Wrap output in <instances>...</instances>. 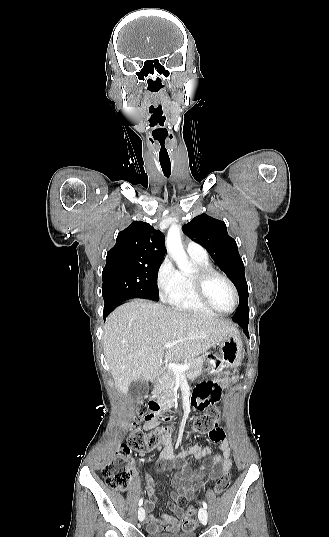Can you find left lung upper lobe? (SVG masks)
Listing matches in <instances>:
<instances>
[{
    "label": "left lung upper lobe",
    "instance_id": "1",
    "mask_svg": "<svg viewBox=\"0 0 329 537\" xmlns=\"http://www.w3.org/2000/svg\"><path fill=\"white\" fill-rule=\"evenodd\" d=\"M190 239L202 245L235 285L239 294V305L233 320L240 323L249 318L248 286L244 264L237 244L228 235L227 227L221 220L201 214L183 226Z\"/></svg>",
    "mask_w": 329,
    "mask_h": 537
}]
</instances>
